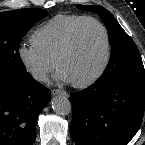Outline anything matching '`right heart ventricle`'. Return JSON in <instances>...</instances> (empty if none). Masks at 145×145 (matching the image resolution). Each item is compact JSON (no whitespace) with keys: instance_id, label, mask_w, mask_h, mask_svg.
Masks as SVG:
<instances>
[{"instance_id":"right-heart-ventricle-1","label":"right heart ventricle","mask_w":145,"mask_h":145,"mask_svg":"<svg viewBox=\"0 0 145 145\" xmlns=\"http://www.w3.org/2000/svg\"><path fill=\"white\" fill-rule=\"evenodd\" d=\"M82 17L84 16L75 14L56 15L34 31L31 41L46 57L55 62L70 30Z\"/></svg>"}]
</instances>
